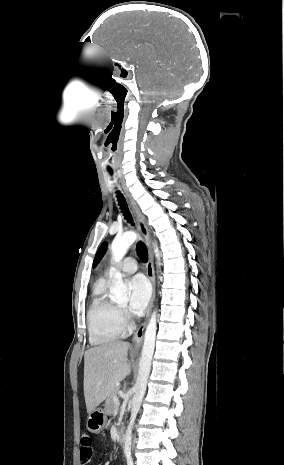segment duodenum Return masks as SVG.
<instances>
[{
  "label": "duodenum",
  "mask_w": 284,
  "mask_h": 465,
  "mask_svg": "<svg viewBox=\"0 0 284 465\" xmlns=\"http://www.w3.org/2000/svg\"><path fill=\"white\" fill-rule=\"evenodd\" d=\"M124 437H125V428L121 427L117 430V440L119 442H122L124 440Z\"/></svg>",
  "instance_id": "obj_1"
}]
</instances>
